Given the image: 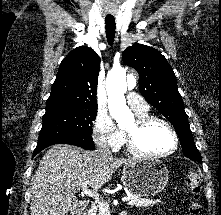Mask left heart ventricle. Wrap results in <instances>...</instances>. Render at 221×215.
<instances>
[{
  "mask_svg": "<svg viewBox=\"0 0 221 215\" xmlns=\"http://www.w3.org/2000/svg\"><path fill=\"white\" fill-rule=\"evenodd\" d=\"M136 121L133 122L127 131H134ZM139 145L146 151L151 153H165L173 147V137L168 128L159 122H154L146 127L138 135Z\"/></svg>",
  "mask_w": 221,
  "mask_h": 215,
  "instance_id": "1",
  "label": "left heart ventricle"
}]
</instances>
